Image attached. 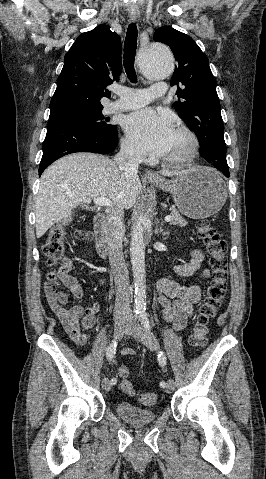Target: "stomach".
<instances>
[{"mask_svg": "<svg viewBox=\"0 0 266 479\" xmlns=\"http://www.w3.org/2000/svg\"><path fill=\"white\" fill-rule=\"evenodd\" d=\"M159 189L170 192L178 210L192 219L217 213L227 198V189L219 173L204 166L188 169L170 181L151 180Z\"/></svg>", "mask_w": 266, "mask_h": 479, "instance_id": "stomach-1", "label": "stomach"}]
</instances>
